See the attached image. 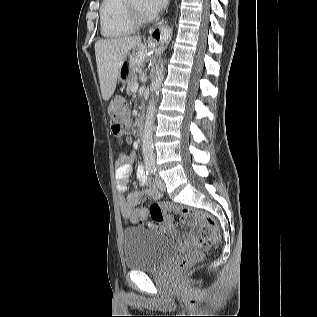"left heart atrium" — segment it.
<instances>
[{
  "instance_id": "1",
  "label": "left heart atrium",
  "mask_w": 317,
  "mask_h": 317,
  "mask_svg": "<svg viewBox=\"0 0 317 317\" xmlns=\"http://www.w3.org/2000/svg\"><path fill=\"white\" fill-rule=\"evenodd\" d=\"M167 0H144L143 8L145 16L151 18L161 11L166 5Z\"/></svg>"
}]
</instances>
